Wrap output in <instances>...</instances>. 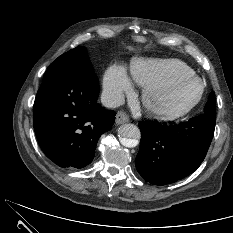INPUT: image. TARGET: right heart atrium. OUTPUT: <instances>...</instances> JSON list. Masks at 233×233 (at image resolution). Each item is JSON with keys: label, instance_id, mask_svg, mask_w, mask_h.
<instances>
[{"label": "right heart atrium", "instance_id": "obj_1", "mask_svg": "<svg viewBox=\"0 0 233 233\" xmlns=\"http://www.w3.org/2000/svg\"><path fill=\"white\" fill-rule=\"evenodd\" d=\"M103 95L111 105H116L122 101L125 94H130L133 90L131 81L120 65L110 66L102 81Z\"/></svg>", "mask_w": 233, "mask_h": 233}]
</instances>
